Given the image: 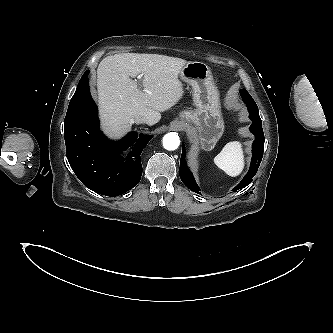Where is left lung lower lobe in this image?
<instances>
[{"label": "left lung lower lobe", "mask_w": 333, "mask_h": 333, "mask_svg": "<svg viewBox=\"0 0 333 333\" xmlns=\"http://www.w3.org/2000/svg\"><path fill=\"white\" fill-rule=\"evenodd\" d=\"M243 101L248 107V111L250 112V119L253 121L250 131L255 135V141L253 142V150H252V160L249 172L243 178V180L233 189L236 191L240 188L246 187L251 181L253 176L256 174L257 169L260 165V162L263 157L264 151V134L262 130V122L259 117L258 107L252 97L250 95L241 94ZM180 178L182 182L192 191L201 194L199 191V187L196 184L192 172L187 167L185 161V147L183 144L182 155L180 160Z\"/></svg>", "instance_id": "0a47b994"}]
</instances>
